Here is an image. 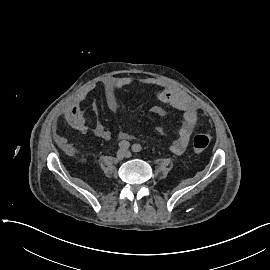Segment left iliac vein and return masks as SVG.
<instances>
[{
    "label": "left iliac vein",
    "mask_w": 270,
    "mask_h": 270,
    "mask_svg": "<svg viewBox=\"0 0 270 270\" xmlns=\"http://www.w3.org/2000/svg\"><path fill=\"white\" fill-rule=\"evenodd\" d=\"M126 154H127V157H130L131 156V154L129 152H127Z\"/></svg>",
    "instance_id": "obj_1"
}]
</instances>
